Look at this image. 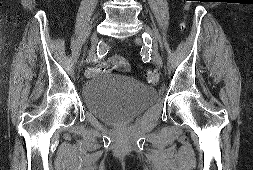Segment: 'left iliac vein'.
Returning a JSON list of instances; mask_svg holds the SVG:
<instances>
[{"label":"left iliac vein","mask_w":253,"mask_h":170,"mask_svg":"<svg viewBox=\"0 0 253 170\" xmlns=\"http://www.w3.org/2000/svg\"><path fill=\"white\" fill-rule=\"evenodd\" d=\"M144 29L151 36V39H152L151 53H152L153 61L156 63V65L159 68H162L163 67V60L158 52L157 40L155 39L152 30L147 25H144Z\"/></svg>","instance_id":"1"}]
</instances>
